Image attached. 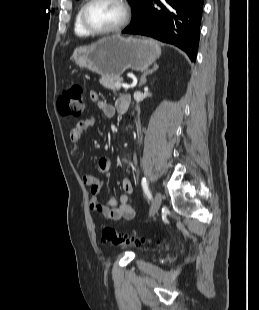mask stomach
<instances>
[{
    "instance_id": "0dacf381",
    "label": "stomach",
    "mask_w": 259,
    "mask_h": 310,
    "mask_svg": "<svg viewBox=\"0 0 259 310\" xmlns=\"http://www.w3.org/2000/svg\"><path fill=\"white\" fill-rule=\"evenodd\" d=\"M161 49L151 39L104 37L88 46H80L72 59L81 67L102 76H120L125 70L142 71L159 58Z\"/></svg>"
}]
</instances>
